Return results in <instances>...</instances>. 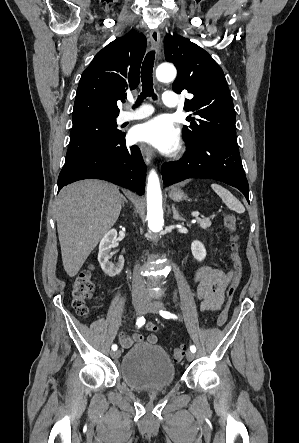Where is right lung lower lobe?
I'll use <instances>...</instances> for the list:
<instances>
[{
	"label": "right lung lower lobe",
	"instance_id": "right-lung-lower-lobe-1",
	"mask_svg": "<svg viewBox=\"0 0 299 443\" xmlns=\"http://www.w3.org/2000/svg\"><path fill=\"white\" fill-rule=\"evenodd\" d=\"M146 166L140 149L126 147L125 134L114 141L97 145L65 162L58 177V192L82 179H102L142 195L145 190Z\"/></svg>",
	"mask_w": 299,
	"mask_h": 443
}]
</instances>
